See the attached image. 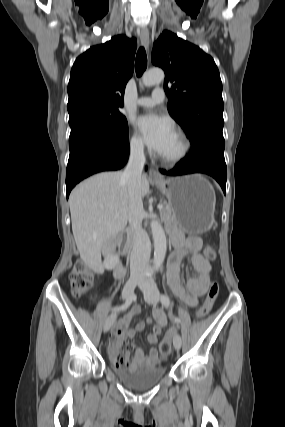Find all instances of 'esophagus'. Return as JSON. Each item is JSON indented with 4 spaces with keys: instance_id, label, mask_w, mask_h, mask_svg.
Instances as JSON below:
<instances>
[{
    "instance_id": "1",
    "label": "esophagus",
    "mask_w": 285,
    "mask_h": 427,
    "mask_svg": "<svg viewBox=\"0 0 285 427\" xmlns=\"http://www.w3.org/2000/svg\"><path fill=\"white\" fill-rule=\"evenodd\" d=\"M140 38H141V42L144 45V47L146 48V50H149V31L148 29L143 28L141 30V34H140ZM149 178L151 180H162V177L159 175V173L157 172V170L153 167L150 168L149 170Z\"/></svg>"
}]
</instances>
